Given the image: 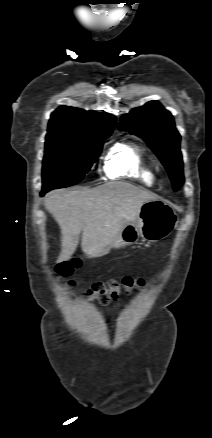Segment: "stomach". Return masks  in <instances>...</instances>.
I'll use <instances>...</instances> for the list:
<instances>
[{"mask_svg":"<svg viewBox=\"0 0 212 438\" xmlns=\"http://www.w3.org/2000/svg\"><path fill=\"white\" fill-rule=\"evenodd\" d=\"M177 223V214L167 203L158 199L147 201L137 218L123 228L109 248H123L136 243L140 237L149 243L158 242L168 237Z\"/></svg>","mask_w":212,"mask_h":438,"instance_id":"0dacf381","label":"stomach"}]
</instances>
